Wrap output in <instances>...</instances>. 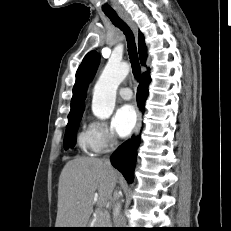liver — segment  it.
Listing matches in <instances>:
<instances>
[{"label": "liver", "mask_w": 231, "mask_h": 231, "mask_svg": "<svg viewBox=\"0 0 231 231\" xmlns=\"http://www.w3.org/2000/svg\"><path fill=\"white\" fill-rule=\"evenodd\" d=\"M119 173L102 159L76 157L59 177L56 228H86L93 212L94 196L105 205L111 199Z\"/></svg>", "instance_id": "liver-1"}]
</instances>
